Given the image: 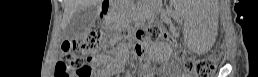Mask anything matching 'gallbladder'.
<instances>
[{"instance_id": "1", "label": "gallbladder", "mask_w": 258, "mask_h": 77, "mask_svg": "<svg viewBox=\"0 0 258 77\" xmlns=\"http://www.w3.org/2000/svg\"><path fill=\"white\" fill-rule=\"evenodd\" d=\"M98 11V5H92L80 8L75 12L66 28L67 37L74 39L82 36L96 20Z\"/></svg>"}]
</instances>
